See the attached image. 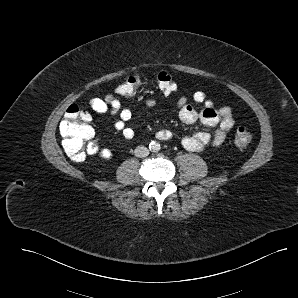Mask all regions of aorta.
Segmentation results:
<instances>
[{
  "instance_id": "aorta-1",
  "label": "aorta",
  "mask_w": 298,
  "mask_h": 298,
  "mask_svg": "<svg viewBox=\"0 0 298 298\" xmlns=\"http://www.w3.org/2000/svg\"><path fill=\"white\" fill-rule=\"evenodd\" d=\"M161 148L160 144L156 141H151L149 143V149L152 151V152H157L159 151Z\"/></svg>"
}]
</instances>
